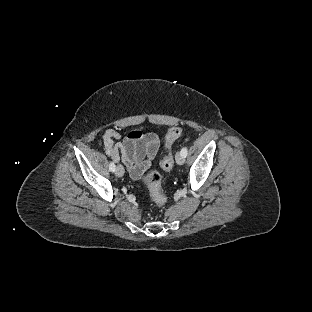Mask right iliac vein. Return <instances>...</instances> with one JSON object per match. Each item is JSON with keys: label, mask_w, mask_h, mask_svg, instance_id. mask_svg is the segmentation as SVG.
Segmentation results:
<instances>
[{"label": "right iliac vein", "mask_w": 312, "mask_h": 312, "mask_svg": "<svg viewBox=\"0 0 312 312\" xmlns=\"http://www.w3.org/2000/svg\"><path fill=\"white\" fill-rule=\"evenodd\" d=\"M115 174L118 176V177H122L124 175V169L122 167L121 164H119L116 168V171H115Z\"/></svg>", "instance_id": "right-iliac-vein-1"}]
</instances>
